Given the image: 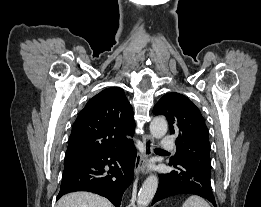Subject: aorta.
I'll list each match as a JSON object with an SVG mask.
<instances>
[{
	"label": "aorta",
	"mask_w": 261,
	"mask_h": 207,
	"mask_svg": "<svg viewBox=\"0 0 261 207\" xmlns=\"http://www.w3.org/2000/svg\"><path fill=\"white\" fill-rule=\"evenodd\" d=\"M168 130L167 121L162 117H155L150 123V132L154 138L163 137ZM158 187V178L155 175H150L144 181L139 194L137 205L138 207H146L153 199Z\"/></svg>",
	"instance_id": "aorta-1"
}]
</instances>
